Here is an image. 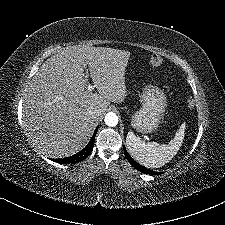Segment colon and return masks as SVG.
<instances>
[{
    "label": "colon",
    "instance_id": "5ec220e1",
    "mask_svg": "<svg viewBox=\"0 0 225 225\" xmlns=\"http://www.w3.org/2000/svg\"><path fill=\"white\" fill-rule=\"evenodd\" d=\"M150 62L154 66H160L162 64V58L159 55H152Z\"/></svg>",
    "mask_w": 225,
    "mask_h": 225
}]
</instances>
